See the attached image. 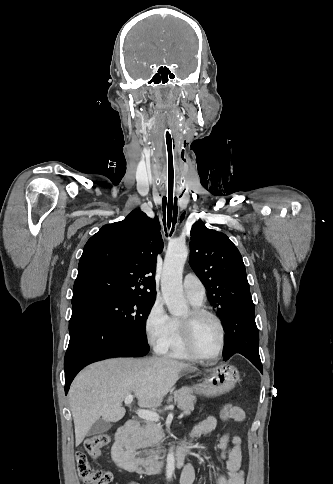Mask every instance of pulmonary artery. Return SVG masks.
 Masks as SVG:
<instances>
[{
  "instance_id": "pulmonary-artery-1",
  "label": "pulmonary artery",
  "mask_w": 333,
  "mask_h": 484,
  "mask_svg": "<svg viewBox=\"0 0 333 484\" xmlns=\"http://www.w3.org/2000/svg\"><path fill=\"white\" fill-rule=\"evenodd\" d=\"M183 287L190 300L196 303H203L205 298V288L196 275L192 273L186 274L183 279Z\"/></svg>"
}]
</instances>
